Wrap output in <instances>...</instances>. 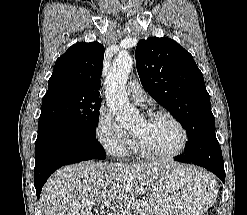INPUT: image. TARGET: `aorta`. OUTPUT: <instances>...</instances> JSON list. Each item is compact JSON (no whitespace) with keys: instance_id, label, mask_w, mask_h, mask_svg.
<instances>
[{"instance_id":"obj_1","label":"aorta","mask_w":247,"mask_h":215,"mask_svg":"<svg viewBox=\"0 0 247 215\" xmlns=\"http://www.w3.org/2000/svg\"><path fill=\"white\" fill-rule=\"evenodd\" d=\"M133 66V59L127 52L118 54L105 80V97L109 112L123 128L133 126L139 119V111L130 104L126 83Z\"/></svg>"}]
</instances>
